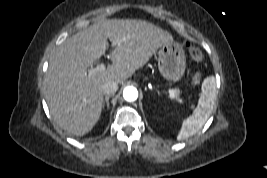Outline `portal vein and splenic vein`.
<instances>
[{
    "label": "portal vein and splenic vein",
    "mask_w": 267,
    "mask_h": 178,
    "mask_svg": "<svg viewBox=\"0 0 267 178\" xmlns=\"http://www.w3.org/2000/svg\"><path fill=\"white\" fill-rule=\"evenodd\" d=\"M104 70H105L104 63H99L95 68H90L88 70V74L91 75V74H93L95 72H102ZM168 92H169V94H170L171 97H173L174 94H175V90H173V89H168Z\"/></svg>",
    "instance_id": "portal-vein-and-splenic-vein-1"
}]
</instances>
